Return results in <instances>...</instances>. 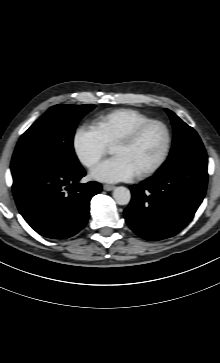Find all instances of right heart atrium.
<instances>
[{
	"mask_svg": "<svg viewBox=\"0 0 220 363\" xmlns=\"http://www.w3.org/2000/svg\"><path fill=\"white\" fill-rule=\"evenodd\" d=\"M72 146L79 162L87 168L96 165L107 152V144L100 133L88 124L75 129Z\"/></svg>",
	"mask_w": 220,
	"mask_h": 363,
	"instance_id": "d8ad5b80",
	"label": "right heart atrium"
}]
</instances>
